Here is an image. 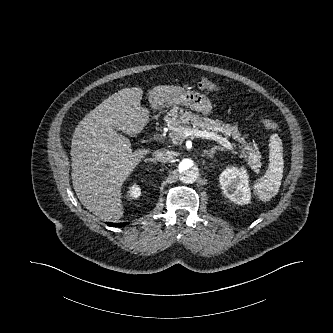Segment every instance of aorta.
I'll return each mask as SVG.
<instances>
[{
	"mask_svg": "<svg viewBox=\"0 0 333 333\" xmlns=\"http://www.w3.org/2000/svg\"><path fill=\"white\" fill-rule=\"evenodd\" d=\"M176 170L184 183H194L199 177V169L190 158H180L176 162Z\"/></svg>",
	"mask_w": 333,
	"mask_h": 333,
	"instance_id": "obj_1",
	"label": "aorta"
}]
</instances>
